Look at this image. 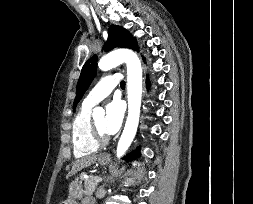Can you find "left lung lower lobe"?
I'll return each instance as SVG.
<instances>
[{
    "mask_svg": "<svg viewBox=\"0 0 253 204\" xmlns=\"http://www.w3.org/2000/svg\"><path fill=\"white\" fill-rule=\"evenodd\" d=\"M146 83H147V87H149V81L148 80L146 81ZM137 156H138L137 153H132V154L128 155V157H126V159L127 160L133 159V158H136Z\"/></svg>",
    "mask_w": 253,
    "mask_h": 204,
    "instance_id": "1",
    "label": "left lung lower lobe"
}]
</instances>
